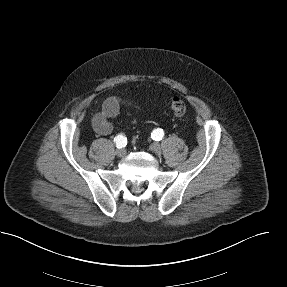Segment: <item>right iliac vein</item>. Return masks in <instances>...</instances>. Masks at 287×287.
<instances>
[{
	"mask_svg": "<svg viewBox=\"0 0 287 287\" xmlns=\"http://www.w3.org/2000/svg\"><path fill=\"white\" fill-rule=\"evenodd\" d=\"M115 154L118 156V157H124L125 154H126V150L125 149H117Z\"/></svg>",
	"mask_w": 287,
	"mask_h": 287,
	"instance_id": "1",
	"label": "right iliac vein"
}]
</instances>
